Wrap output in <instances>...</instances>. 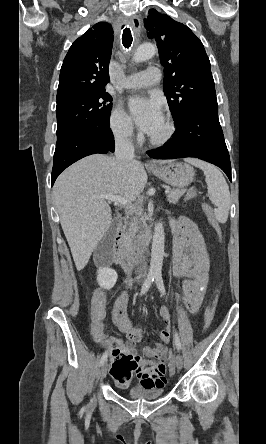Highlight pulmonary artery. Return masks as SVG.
I'll return each mask as SVG.
<instances>
[{
	"mask_svg": "<svg viewBox=\"0 0 266 444\" xmlns=\"http://www.w3.org/2000/svg\"><path fill=\"white\" fill-rule=\"evenodd\" d=\"M161 70L156 66H151L143 72L131 74L126 77L123 85L125 88H141L156 84L161 79Z\"/></svg>",
	"mask_w": 266,
	"mask_h": 444,
	"instance_id": "1",
	"label": "pulmonary artery"
}]
</instances>
